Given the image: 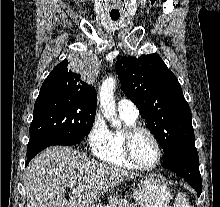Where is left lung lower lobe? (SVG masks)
<instances>
[{
	"label": "left lung lower lobe",
	"mask_w": 220,
	"mask_h": 207,
	"mask_svg": "<svg viewBox=\"0 0 220 207\" xmlns=\"http://www.w3.org/2000/svg\"><path fill=\"white\" fill-rule=\"evenodd\" d=\"M163 166L183 177L200 196L202 180L199 171V158L195 142L166 153Z\"/></svg>",
	"instance_id": "0a47b994"
}]
</instances>
